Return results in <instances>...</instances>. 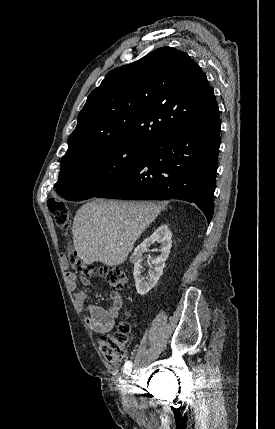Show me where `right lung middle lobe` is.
Masks as SVG:
<instances>
[{
    "mask_svg": "<svg viewBox=\"0 0 275 429\" xmlns=\"http://www.w3.org/2000/svg\"><path fill=\"white\" fill-rule=\"evenodd\" d=\"M149 145L117 144L108 146L61 165L55 187L71 201L95 197L114 181L138 167Z\"/></svg>",
    "mask_w": 275,
    "mask_h": 429,
    "instance_id": "obj_1",
    "label": "right lung middle lobe"
}]
</instances>
